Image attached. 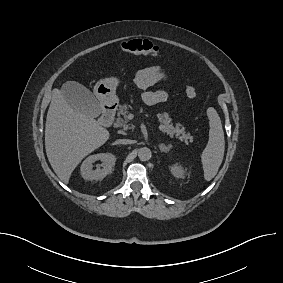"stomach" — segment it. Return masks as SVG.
<instances>
[{
  "label": "stomach",
  "instance_id": "0dacf381",
  "mask_svg": "<svg viewBox=\"0 0 283 283\" xmlns=\"http://www.w3.org/2000/svg\"><path fill=\"white\" fill-rule=\"evenodd\" d=\"M119 82L117 77H110L96 83L94 94L102 105H115L117 103L116 88Z\"/></svg>",
  "mask_w": 283,
  "mask_h": 283
}]
</instances>
